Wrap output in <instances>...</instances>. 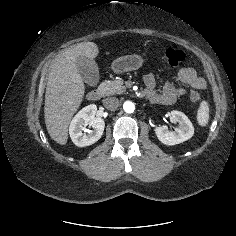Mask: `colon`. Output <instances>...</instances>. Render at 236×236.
I'll return each instance as SVG.
<instances>
[{
	"mask_svg": "<svg viewBox=\"0 0 236 236\" xmlns=\"http://www.w3.org/2000/svg\"><path fill=\"white\" fill-rule=\"evenodd\" d=\"M184 53L176 48H167L164 52L166 62L171 66H176L184 60ZM190 100L194 103L199 102L200 95L197 91L190 92Z\"/></svg>",
	"mask_w": 236,
	"mask_h": 236,
	"instance_id": "1",
	"label": "colon"
}]
</instances>
